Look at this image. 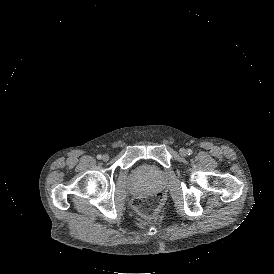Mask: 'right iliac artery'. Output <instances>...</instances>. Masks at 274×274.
I'll list each match as a JSON object with an SVG mask.
<instances>
[{
    "instance_id": "82829eb1",
    "label": "right iliac artery",
    "mask_w": 274,
    "mask_h": 274,
    "mask_svg": "<svg viewBox=\"0 0 274 274\" xmlns=\"http://www.w3.org/2000/svg\"><path fill=\"white\" fill-rule=\"evenodd\" d=\"M101 158H102V156H101V155H97V159H99V160H100Z\"/></svg>"
}]
</instances>
